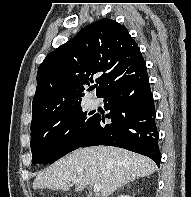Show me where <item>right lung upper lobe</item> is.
<instances>
[{
	"instance_id": "cb5924a9",
	"label": "right lung upper lobe",
	"mask_w": 191,
	"mask_h": 197,
	"mask_svg": "<svg viewBox=\"0 0 191 197\" xmlns=\"http://www.w3.org/2000/svg\"><path fill=\"white\" fill-rule=\"evenodd\" d=\"M146 65L124 25L103 18L49 53L40 64L32 103L31 128L80 105L93 77L97 96L110 85Z\"/></svg>"
}]
</instances>
